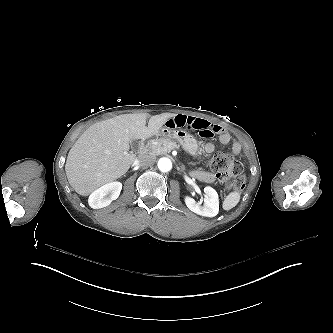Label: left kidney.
<instances>
[{
	"label": "left kidney",
	"instance_id": "obj_1",
	"mask_svg": "<svg viewBox=\"0 0 333 333\" xmlns=\"http://www.w3.org/2000/svg\"><path fill=\"white\" fill-rule=\"evenodd\" d=\"M204 193L206 195L204 199V204L201 206L193 198L186 196L185 203L186 206L194 213L206 216L214 217L219 212V198L215 189L210 186L204 188Z\"/></svg>",
	"mask_w": 333,
	"mask_h": 333
}]
</instances>
